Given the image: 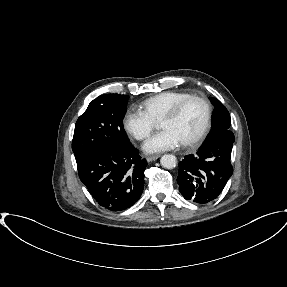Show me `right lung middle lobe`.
<instances>
[{
	"label": "right lung middle lobe",
	"mask_w": 287,
	"mask_h": 287,
	"mask_svg": "<svg viewBox=\"0 0 287 287\" xmlns=\"http://www.w3.org/2000/svg\"><path fill=\"white\" fill-rule=\"evenodd\" d=\"M128 96L101 95L88 105L78 118L72 141V150L78 160L98 147L128 148L132 144L123 127Z\"/></svg>",
	"instance_id": "dd1d6c3e"
}]
</instances>
